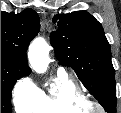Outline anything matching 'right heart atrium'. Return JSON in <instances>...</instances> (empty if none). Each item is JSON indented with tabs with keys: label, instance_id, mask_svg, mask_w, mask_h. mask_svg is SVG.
<instances>
[{
	"label": "right heart atrium",
	"instance_id": "right-heart-atrium-1",
	"mask_svg": "<svg viewBox=\"0 0 121 113\" xmlns=\"http://www.w3.org/2000/svg\"><path fill=\"white\" fill-rule=\"evenodd\" d=\"M34 91L33 84L27 80H20L16 83L13 89V102L17 106L18 103L28 100L32 97Z\"/></svg>",
	"mask_w": 121,
	"mask_h": 113
}]
</instances>
